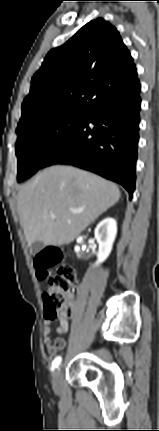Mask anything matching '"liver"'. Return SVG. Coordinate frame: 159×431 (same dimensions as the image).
<instances>
[{"mask_svg":"<svg viewBox=\"0 0 159 431\" xmlns=\"http://www.w3.org/2000/svg\"><path fill=\"white\" fill-rule=\"evenodd\" d=\"M120 196L116 184L87 171L61 165L43 170L18 192V213L28 245L73 242ZM73 209L84 211L72 213Z\"/></svg>","mask_w":159,"mask_h":431,"instance_id":"1","label":"liver"}]
</instances>
